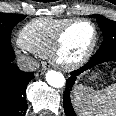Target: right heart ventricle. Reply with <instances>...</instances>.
<instances>
[{"mask_svg": "<svg viewBox=\"0 0 116 116\" xmlns=\"http://www.w3.org/2000/svg\"><path fill=\"white\" fill-rule=\"evenodd\" d=\"M70 20L68 18L32 20L21 29L18 36L19 45L37 56L47 57L58 31Z\"/></svg>", "mask_w": 116, "mask_h": 116, "instance_id": "obj_1", "label": "right heart ventricle"}]
</instances>
